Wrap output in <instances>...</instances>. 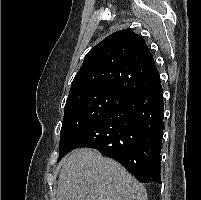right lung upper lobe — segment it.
<instances>
[{
    "mask_svg": "<svg viewBox=\"0 0 201 200\" xmlns=\"http://www.w3.org/2000/svg\"><path fill=\"white\" fill-rule=\"evenodd\" d=\"M158 83L159 72L144 39L124 29L109 35L87 53L68 97L95 90L131 97Z\"/></svg>",
    "mask_w": 201,
    "mask_h": 200,
    "instance_id": "1",
    "label": "right lung upper lobe"
}]
</instances>
